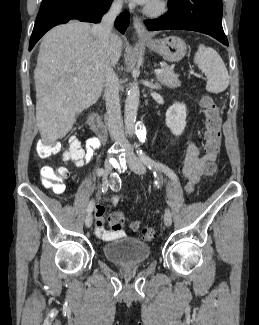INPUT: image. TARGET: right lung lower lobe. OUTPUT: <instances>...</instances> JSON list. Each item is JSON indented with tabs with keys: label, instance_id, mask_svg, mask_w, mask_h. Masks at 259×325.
I'll use <instances>...</instances> for the list:
<instances>
[{
	"label": "right lung lower lobe",
	"instance_id": "obj_1",
	"mask_svg": "<svg viewBox=\"0 0 259 325\" xmlns=\"http://www.w3.org/2000/svg\"><path fill=\"white\" fill-rule=\"evenodd\" d=\"M112 0H46L36 19L30 38L29 51L36 42L52 27L77 19L85 22H100L102 16L110 8ZM128 12L120 14L115 27L124 34L129 25Z\"/></svg>",
	"mask_w": 259,
	"mask_h": 325
}]
</instances>
